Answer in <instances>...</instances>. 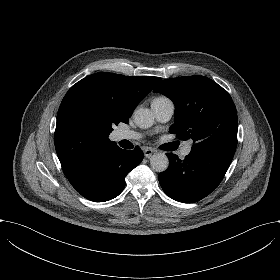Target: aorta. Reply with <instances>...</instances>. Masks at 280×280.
Segmentation results:
<instances>
[{
    "label": "aorta",
    "instance_id": "aorta-1",
    "mask_svg": "<svg viewBox=\"0 0 280 280\" xmlns=\"http://www.w3.org/2000/svg\"><path fill=\"white\" fill-rule=\"evenodd\" d=\"M134 123L142 129L150 128L154 124V115L148 108H139L133 114ZM150 165L156 172H163L168 168L169 160L165 153L154 154L150 158Z\"/></svg>",
    "mask_w": 280,
    "mask_h": 280
}]
</instances>
